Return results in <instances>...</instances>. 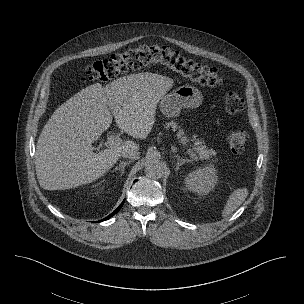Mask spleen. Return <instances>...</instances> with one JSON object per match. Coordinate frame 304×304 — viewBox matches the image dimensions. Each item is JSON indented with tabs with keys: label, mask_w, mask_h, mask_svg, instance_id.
<instances>
[{
	"label": "spleen",
	"mask_w": 304,
	"mask_h": 304,
	"mask_svg": "<svg viewBox=\"0 0 304 304\" xmlns=\"http://www.w3.org/2000/svg\"><path fill=\"white\" fill-rule=\"evenodd\" d=\"M247 188H238L229 196L226 205L222 210V216L227 217L232 214L247 198Z\"/></svg>",
	"instance_id": "spleen-1"
}]
</instances>
